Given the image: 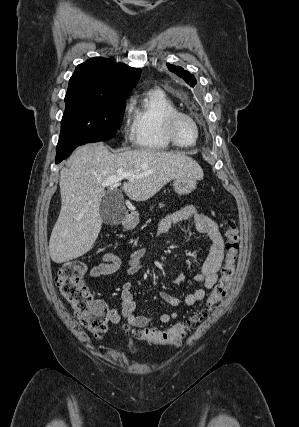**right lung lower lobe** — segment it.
<instances>
[{"label": "right lung lower lobe", "instance_id": "right-lung-lower-lobe-1", "mask_svg": "<svg viewBox=\"0 0 299 427\" xmlns=\"http://www.w3.org/2000/svg\"><path fill=\"white\" fill-rule=\"evenodd\" d=\"M83 144H85V143H78V144L72 145L70 147H67L65 149L56 151V160H55L56 164L60 163L64 159H66L76 147L83 145Z\"/></svg>", "mask_w": 299, "mask_h": 427}]
</instances>
